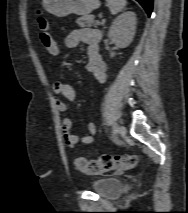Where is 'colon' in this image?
<instances>
[{
  "label": "colon",
  "mask_w": 188,
  "mask_h": 213,
  "mask_svg": "<svg viewBox=\"0 0 188 213\" xmlns=\"http://www.w3.org/2000/svg\"><path fill=\"white\" fill-rule=\"evenodd\" d=\"M38 25H39V39L45 50L51 55H56L57 46L49 31L47 20L41 15V11L37 10ZM137 157L135 155L110 156L102 155L95 160H86L84 158H77L75 160V167L78 171L88 174L97 175L116 170H128L136 167Z\"/></svg>",
  "instance_id": "colon-1"
}]
</instances>
